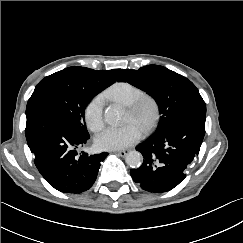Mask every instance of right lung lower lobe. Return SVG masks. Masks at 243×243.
Listing matches in <instances>:
<instances>
[{
  "instance_id": "obj_1",
  "label": "right lung lower lobe",
  "mask_w": 243,
  "mask_h": 243,
  "mask_svg": "<svg viewBox=\"0 0 243 243\" xmlns=\"http://www.w3.org/2000/svg\"><path fill=\"white\" fill-rule=\"evenodd\" d=\"M26 117L27 143L44 179L63 193L77 194L88 190L108 153L79 154L77 149L86 143L89 134L79 133L56 112L33 108L26 111Z\"/></svg>"
}]
</instances>
